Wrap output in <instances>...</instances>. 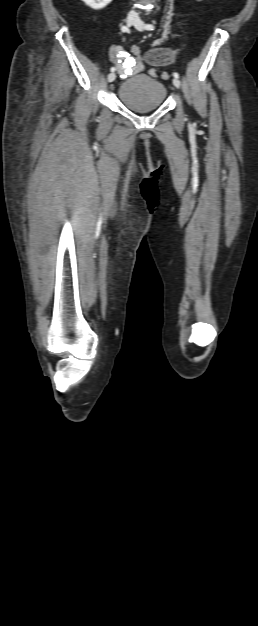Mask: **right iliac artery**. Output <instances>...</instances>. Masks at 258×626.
<instances>
[{"instance_id":"right-iliac-artery-1","label":"right iliac artery","mask_w":258,"mask_h":626,"mask_svg":"<svg viewBox=\"0 0 258 626\" xmlns=\"http://www.w3.org/2000/svg\"><path fill=\"white\" fill-rule=\"evenodd\" d=\"M121 31H122V32H128V28H127L126 26H122V27H121ZM110 71H111V72H114V71H115V68H114V67H111Z\"/></svg>"}]
</instances>
